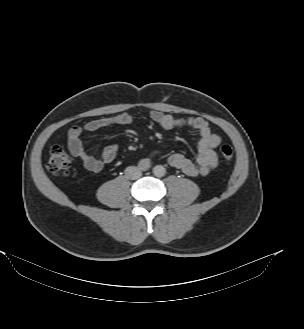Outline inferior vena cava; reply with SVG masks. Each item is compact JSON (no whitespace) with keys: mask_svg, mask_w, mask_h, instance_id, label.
I'll use <instances>...</instances> for the list:
<instances>
[{"mask_svg":"<svg viewBox=\"0 0 304 329\" xmlns=\"http://www.w3.org/2000/svg\"><path fill=\"white\" fill-rule=\"evenodd\" d=\"M125 175L131 180H136L141 177L142 172L138 167L130 166L126 168Z\"/></svg>","mask_w":304,"mask_h":329,"instance_id":"obj_1","label":"inferior vena cava"}]
</instances>
